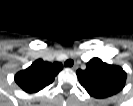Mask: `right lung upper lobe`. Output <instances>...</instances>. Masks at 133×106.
Listing matches in <instances>:
<instances>
[{"label": "right lung upper lobe", "instance_id": "right-lung-upper-lobe-1", "mask_svg": "<svg viewBox=\"0 0 133 106\" xmlns=\"http://www.w3.org/2000/svg\"><path fill=\"white\" fill-rule=\"evenodd\" d=\"M63 69L60 62H46L38 59L30 67L15 75V82L27 93H35L49 84L55 76Z\"/></svg>", "mask_w": 133, "mask_h": 106}]
</instances>
